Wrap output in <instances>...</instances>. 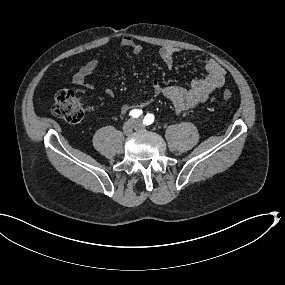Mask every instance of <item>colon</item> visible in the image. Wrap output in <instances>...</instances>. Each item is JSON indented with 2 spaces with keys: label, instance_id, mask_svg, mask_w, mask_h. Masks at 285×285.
<instances>
[{
  "label": "colon",
  "instance_id": "colon-1",
  "mask_svg": "<svg viewBox=\"0 0 285 285\" xmlns=\"http://www.w3.org/2000/svg\"><path fill=\"white\" fill-rule=\"evenodd\" d=\"M233 96L230 90H224L222 98L229 100ZM53 113L68 123H78L85 115V107L81 95L72 89H65L58 92L53 104Z\"/></svg>",
  "mask_w": 285,
  "mask_h": 285
}]
</instances>
